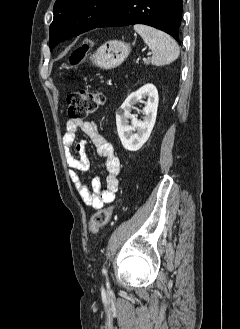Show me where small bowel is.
Here are the masks:
<instances>
[{
	"mask_svg": "<svg viewBox=\"0 0 240 329\" xmlns=\"http://www.w3.org/2000/svg\"><path fill=\"white\" fill-rule=\"evenodd\" d=\"M79 129L92 141L97 153L104 158L102 166L107 172L104 188L98 177L92 180L91 188L88 187L79 174L86 171L90 165L86 154V142L77 141ZM62 142L67 165L71 168V180L83 202L94 209H101L104 205L112 203L119 189V160L114 155L112 145L98 131L96 124L82 119L68 120ZM74 151L78 153V158L75 157Z\"/></svg>",
	"mask_w": 240,
	"mask_h": 329,
	"instance_id": "obj_1",
	"label": "small bowel"
}]
</instances>
